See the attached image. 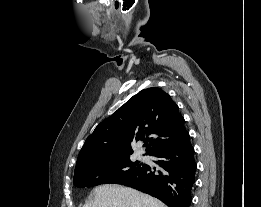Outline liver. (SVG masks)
<instances>
[{
	"mask_svg": "<svg viewBox=\"0 0 261 207\" xmlns=\"http://www.w3.org/2000/svg\"><path fill=\"white\" fill-rule=\"evenodd\" d=\"M93 194V200L84 207H167L152 196L116 184L98 186Z\"/></svg>",
	"mask_w": 261,
	"mask_h": 207,
	"instance_id": "obj_1",
	"label": "liver"
}]
</instances>
